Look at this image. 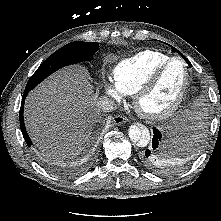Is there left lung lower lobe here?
<instances>
[{
  "instance_id": "1",
  "label": "left lung lower lobe",
  "mask_w": 221,
  "mask_h": 221,
  "mask_svg": "<svg viewBox=\"0 0 221 221\" xmlns=\"http://www.w3.org/2000/svg\"><path fill=\"white\" fill-rule=\"evenodd\" d=\"M153 133L152 147L150 149H146L142 159L148 167L153 168L156 166V169H161L157 166L162 165L161 159L159 158L160 153L163 151L161 143L162 134L155 127H153Z\"/></svg>"
}]
</instances>
